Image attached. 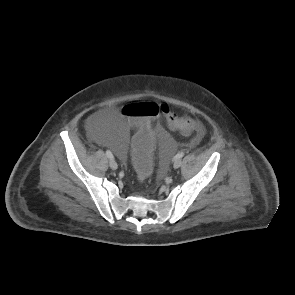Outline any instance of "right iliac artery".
<instances>
[{"label":"right iliac artery","instance_id":"1","mask_svg":"<svg viewBox=\"0 0 295 295\" xmlns=\"http://www.w3.org/2000/svg\"><path fill=\"white\" fill-rule=\"evenodd\" d=\"M106 155H107V157H108L109 159H113V158H114V156H113V154H112V152H111L110 150H107V151H106Z\"/></svg>","mask_w":295,"mask_h":295}]
</instances>
